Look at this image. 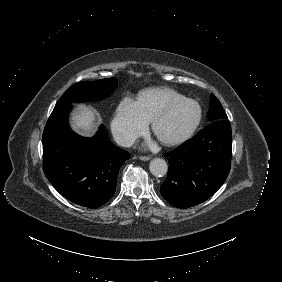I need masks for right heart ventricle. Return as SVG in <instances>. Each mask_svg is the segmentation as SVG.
I'll list each match as a JSON object with an SVG mask.
<instances>
[{
  "label": "right heart ventricle",
  "instance_id": "e07e8e85",
  "mask_svg": "<svg viewBox=\"0 0 282 282\" xmlns=\"http://www.w3.org/2000/svg\"><path fill=\"white\" fill-rule=\"evenodd\" d=\"M182 98L181 95L170 89L154 88L146 90L139 97V105L149 119L153 121L156 115L172 101Z\"/></svg>",
  "mask_w": 282,
  "mask_h": 282
}]
</instances>
